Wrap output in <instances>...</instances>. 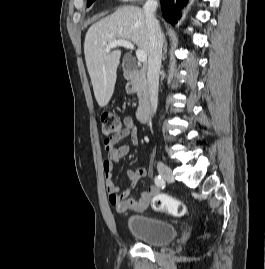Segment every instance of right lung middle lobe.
Returning a JSON list of instances; mask_svg holds the SVG:
<instances>
[{
    "mask_svg": "<svg viewBox=\"0 0 265 269\" xmlns=\"http://www.w3.org/2000/svg\"><path fill=\"white\" fill-rule=\"evenodd\" d=\"M95 0H87V6H90Z\"/></svg>",
    "mask_w": 265,
    "mask_h": 269,
    "instance_id": "right-lung-middle-lobe-1",
    "label": "right lung middle lobe"
}]
</instances>
